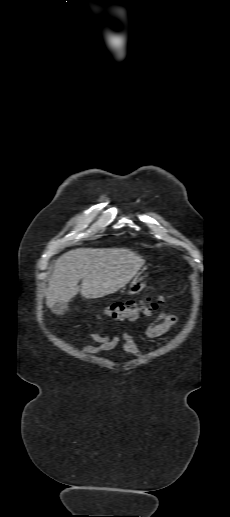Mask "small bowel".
I'll list each match as a JSON object with an SVG mask.
<instances>
[{"instance_id": "c3829d8e", "label": "small bowel", "mask_w": 230, "mask_h": 517, "mask_svg": "<svg viewBox=\"0 0 230 517\" xmlns=\"http://www.w3.org/2000/svg\"><path fill=\"white\" fill-rule=\"evenodd\" d=\"M177 322L178 317L175 314L170 312L161 313L156 320L148 324L145 329V334L149 338L160 337L166 334ZM87 337L98 343V346L86 345L83 347L84 353L109 351L117 347L119 343L122 342L123 349L127 355L137 357L140 354L133 337L128 333L115 336H101L96 333H90Z\"/></svg>"}]
</instances>
